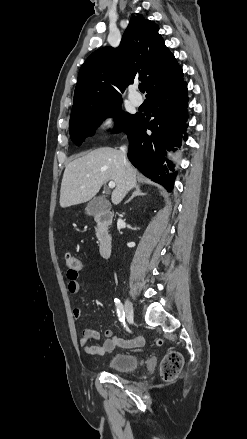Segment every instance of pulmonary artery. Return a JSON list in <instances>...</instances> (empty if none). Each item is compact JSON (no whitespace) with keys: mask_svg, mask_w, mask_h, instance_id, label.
<instances>
[{"mask_svg":"<svg viewBox=\"0 0 247 439\" xmlns=\"http://www.w3.org/2000/svg\"><path fill=\"white\" fill-rule=\"evenodd\" d=\"M129 99H130V101H131L134 105H136V106H139V105L142 104V98H141L140 96L136 95V94L133 93V92H131V93L129 94Z\"/></svg>","mask_w":247,"mask_h":439,"instance_id":"e3ab8cb5","label":"pulmonary artery"}]
</instances>
